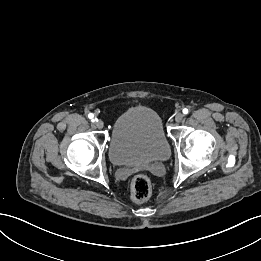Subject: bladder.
Listing matches in <instances>:
<instances>
[{
    "instance_id": "31cf9c89",
    "label": "bladder",
    "mask_w": 261,
    "mask_h": 261,
    "mask_svg": "<svg viewBox=\"0 0 261 261\" xmlns=\"http://www.w3.org/2000/svg\"><path fill=\"white\" fill-rule=\"evenodd\" d=\"M171 146L158 113L135 106L121 113L113 123L108 156L116 166L163 161Z\"/></svg>"
}]
</instances>
